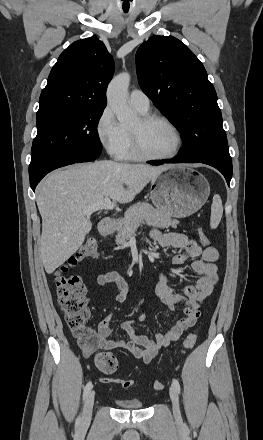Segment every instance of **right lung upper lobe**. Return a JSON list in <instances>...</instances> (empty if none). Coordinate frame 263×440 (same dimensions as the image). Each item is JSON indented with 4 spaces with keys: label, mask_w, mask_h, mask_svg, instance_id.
Segmentation results:
<instances>
[{
    "label": "right lung upper lobe",
    "mask_w": 263,
    "mask_h": 440,
    "mask_svg": "<svg viewBox=\"0 0 263 440\" xmlns=\"http://www.w3.org/2000/svg\"><path fill=\"white\" fill-rule=\"evenodd\" d=\"M114 62L96 36L72 43L59 56L39 99V110L105 108Z\"/></svg>",
    "instance_id": "cb5924a9"
}]
</instances>
